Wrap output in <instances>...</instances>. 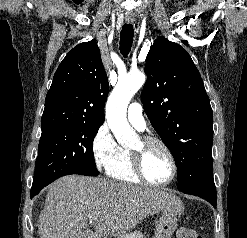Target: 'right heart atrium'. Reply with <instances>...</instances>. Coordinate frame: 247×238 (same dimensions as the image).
I'll return each instance as SVG.
<instances>
[{
    "instance_id": "1",
    "label": "right heart atrium",
    "mask_w": 247,
    "mask_h": 238,
    "mask_svg": "<svg viewBox=\"0 0 247 238\" xmlns=\"http://www.w3.org/2000/svg\"><path fill=\"white\" fill-rule=\"evenodd\" d=\"M120 146L107 123H102L92 139V155L98 170H107L116 158Z\"/></svg>"
}]
</instances>
